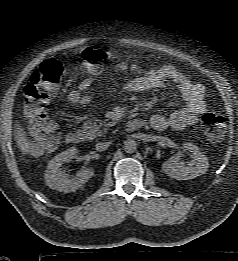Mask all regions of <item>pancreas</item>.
I'll return each mask as SVG.
<instances>
[{"label": "pancreas", "mask_w": 238, "mask_h": 261, "mask_svg": "<svg viewBox=\"0 0 238 261\" xmlns=\"http://www.w3.org/2000/svg\"><path fill=\"white\" fill-rule=\"evenodd\" d=\"M114 122L107 123L106 120H98L96 119L94 122L86 121L83 124V131L87 135L88 139H94L97 136H101L103 133H106L108 128L113 126ZM104 126V129L101 127Z\"/></svg>", "instance_id": "cf45deb5"}]
</instances>
